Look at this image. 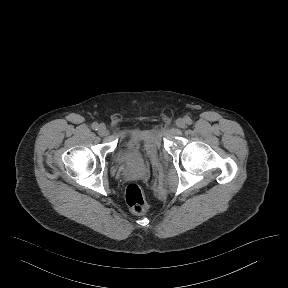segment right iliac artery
<instances>
[{
  "label": "right iliac artery",
  "instance_id": "right-iliac-artery-1",
  "mask_svg": "<svg viewBox=\"0 0 288 288\" xmlns=\"http://www.w3.org/2000/svg\"><path fill=\"white\" fill-rule=\"evenodd\" d=\"M92 129H94V130H98V127H99V125H98V123L97 122H94V123H92Z\"/></svg>",
  "mask_w": 288,
  "mask_h": 288
}]
</instances>
